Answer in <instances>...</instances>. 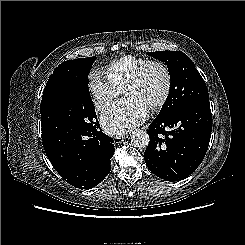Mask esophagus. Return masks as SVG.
<instances>
[{
	"label": "esophagus",
	"instance_id": "34e87169",
	"mask_svg": "<svg viewBox=\"0 0 245 245\" xmlns=\"http://www.w3.org/2000/svg\"><path fill=\"white\" fill-rule=\"evenodd\" d=\"M124 138H125L124 136H116V137H114V144L118 145V144L122 143Z\"/></svg>",
	"mask_w": 245,
	"mask_h": 245
}]
</instances>
